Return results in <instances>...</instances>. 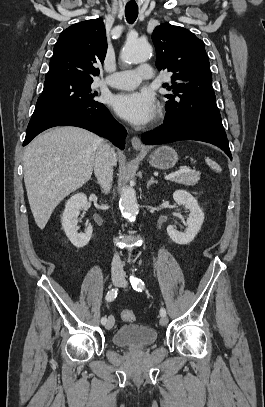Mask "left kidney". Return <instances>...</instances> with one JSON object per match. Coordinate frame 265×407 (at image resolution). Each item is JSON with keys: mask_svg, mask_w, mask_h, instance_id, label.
<instances>
[{"mask_svg": "<svg viewBox=\"0 0 265 407\" xmlns=\"http://www.w3.org/2000/svg\"><path fill=\"white\" fill-rule=\"evenodd\" d=\"M173 199L179 205L185 206L190 211L187 219V228L185 232L177 231L174 226L167 227L169 237L177 244H189L201 229L204 221V213L198 205L197 200L185 190H176L173 193Z\"/></svg>", "mask_w": 265, "mask_h": 407, "instance_id": "5707ae66", "label": "left kidney"}]
</instances>
